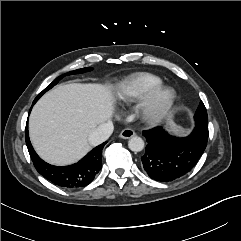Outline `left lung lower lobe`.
Returning a JSON list of instances; mask_svg holds the SVG:
<instances>
[{
    "instance_id": "0a47b994",
    "label": "left lung lower lobe",
    "mask_w": 241,
    "mask_h": 241,
    "mask_svg": "<svg viewBox=\"0 0 241 241\" xmlns=\"http://www.w3.org/2000/svg\"><path fill=\"white\" fill-rule=\"evenodd\" d=\"M147 146L142 166L151 179L170 182L186 175L203 154L208 133L195 126L190 135L175 137L162 127L143 131Z\"/></svg>"
}]
</instances>
